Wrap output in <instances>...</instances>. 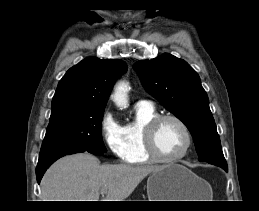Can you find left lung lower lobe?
<instances>
[{
    "label": "left lung lower lobe",
    "mask_w": 259,
    "mask_h": 211,
    "mask_svg": "<svg viewBox=\"0 0 259 211\" xmlns=\"http://www.w3.org/2000/svg\"><path fill=\"white\" fill-rule=\"evenodd\" d=\"M223 169H224L225 171H228V167H224Z\"/></svg>",
    "instance_id": "obj_1"
}]
</instances>
